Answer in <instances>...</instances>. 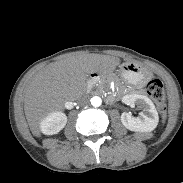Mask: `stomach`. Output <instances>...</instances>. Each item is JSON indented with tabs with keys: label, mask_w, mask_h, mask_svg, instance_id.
<instances>
[{
	"label": "stomach",
	"mask_w": 183,
	"mask_h": 183,
	"mask_svg": "<svg viewBox=\"0 0 183 183\" xmlns=\"http://www.w3.org/2000/svg\"><path fill=\"white\" fill-rule=\"evenodd\" d=\"M122 75L126 83L132 87H142L150 77V73L143 66L132 62L122 65Z\"/></svg>",
	"instance_id": "obj_1"
}]
</instances>
